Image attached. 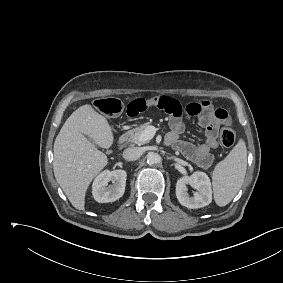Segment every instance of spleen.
Instances as JSON below:
<instances>
[{
  "instance_id": "3e777b00",
  "label": "spleen",
  "mask_w": 283,
  "mask_h": 283,
  "mask_svg": "<svg viewBox=\"0 0 283 283\" xmlns=\"http://www.w3.org/2000/svg\"><path fill=\"white\" fill-rule=\"evenodd\" d=\"M247 169V149L240 139L212 173L214 200L220 207L226 206L241 188Z\"/></svg>"
}]
</instances>
